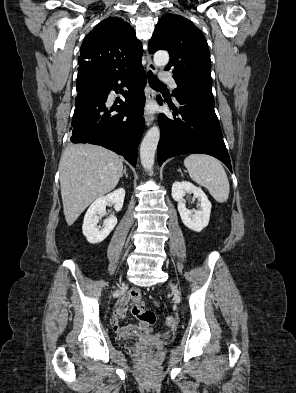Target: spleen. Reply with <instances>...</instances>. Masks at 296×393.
<instances>
[{
  "instance_id": "1",
  "label": "spleen",
  "mask_w": 296,
  "mask_h": 393,
  "mask_svg": "<svg viewBox=\"0 0 296 393\" xmlns=\"http://www.w3.org/2000/svg\"><path fill=\"white\" fill-rule=\"evenodd\" d=\"M184 165L190 178L207 188L217 202L224 203L228 200L229 181L223 166L217 159L209 155L192 154L185 158Z\"/></svg>"
}]
</instances>
